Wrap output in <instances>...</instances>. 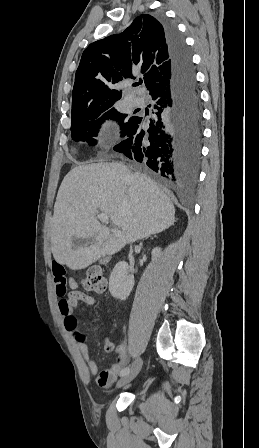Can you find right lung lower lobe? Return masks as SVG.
I'll use <instances>...</instances> for the list:
<instances>
[{
	"mask_svg": "<svg viewBox=\"0 0 259 448\" xmlns=\"http://www.w3.org/2000/svg\"><path fill=\"white\" fill-rule=\"evenodd\" d=\"M165 32L172 79L166 91L152 95L155 101L144 126L145 117L135 116L123 141L113 150L143 162L174 185L191 186L196 182L200 164L201 105L191 54L176 27L159 19Z\"/></svg>",
	"mask_w": 259,
	"mask_h": 448,
	"instance_id": "1",
	"label": "right lung lower lobe"
}]
</instances>
